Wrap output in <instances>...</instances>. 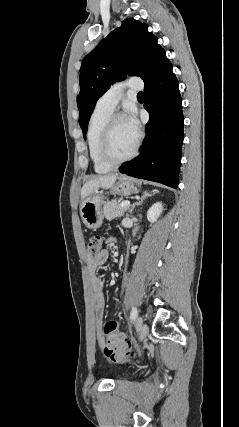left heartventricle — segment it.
<instances>
[{"mask_svg": "<svg viewBox=\"0 0 239 427\" xmlns=\"http://www.w3.org/2000/svg\"><path fill=\"white\" fill-rule=\"evenodd\" d=\"M136 137L124 119L118 120L114 124L111 135L110 151L112 156L122 158L129 154L135 145Z\"/></svg>", "mask_w": 239, "mask_h": 427, "instance_id": "b2bd125f", "label": "left heart ventricle"}]
</instances>
